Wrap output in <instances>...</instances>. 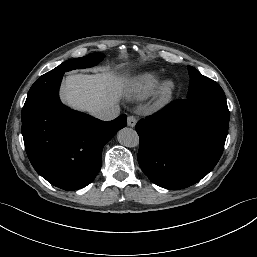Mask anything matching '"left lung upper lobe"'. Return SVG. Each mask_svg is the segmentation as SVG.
Wrapping results in <instances>:
<instances>
[{"label":"left lung upper lobe","mask_w":257,"mask_h":257,"mask_svg":"<svg viewBox=\"0 0 257 257\" xmlns=\"http://www.w3.org/2000/svg\"><path fill=\"white\" fill-rule=\"evenodd\" d=\"M190 84L187 98L200 99L207 97L226 98L220 85L212 79L202 75L192 66H188Z\"/></svg>","instance_id":"1"}]
</instances>
